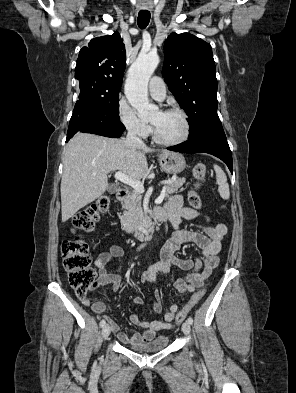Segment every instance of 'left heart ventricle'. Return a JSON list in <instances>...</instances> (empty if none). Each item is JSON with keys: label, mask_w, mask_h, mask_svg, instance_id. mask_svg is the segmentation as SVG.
<instances>
[{"label": "left heart ventricle", "mask_w": 296, "mask_h": 393, "mask_svg": "<svg viewBox=\"0 0 296 393\" xmlns=\"http://www.w3.org/2000/svg\"><path fill=\"white\" fill-rule=\"evenodd\" d=\"M158 136L167 141L180 138L184 132V124L180 115L156 111L150 118Z\"/></svg>", "instance_id": "b2bd125f"}]
</instances>
